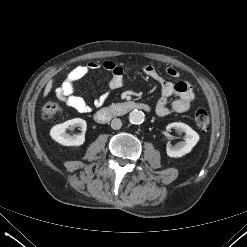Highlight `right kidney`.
<instances>
[{
    "label": "right kidney",
    "mask_w": 247,
    "mask_h": 247,
    "mask_svg": "<svg viewBox=\"0 0 247 247\" xmlns=\"http://www.w3.org/2000/svg\"><path fill=\"white\" fill-rule=\"evenodd\" d=\"M75 127H80L82 133L80 135H70L66 133V129L73 130ZM87 124L81 118H74L64 123L53 126L50 130V136L53 140L64 146H80L85 142V132Z\"/></svg>",
    "instance_id": "1"
}]
</instances>
